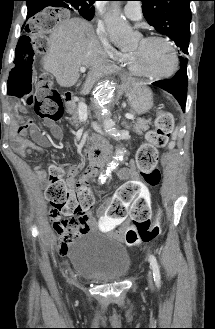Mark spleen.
Returning <instances> with one entry per match:
<instances>
[{
    "label": "spleen",
    "instance_id": "obj_1",
    "mask_svg": "<svg viewBox=\"0 0 215 329\" xmlns=\"http://www.w3.org/2000/svg\"><path fill=\"white\" fill-rule=\"evenodd\" d=\"M173 140H175V136H174ZM174 145H175V142L173 141V142L169 145V147H170V148H173Z\"/></svg>",
    "mask_w": 215,
    "mask_h": 329
}]
</instances>
